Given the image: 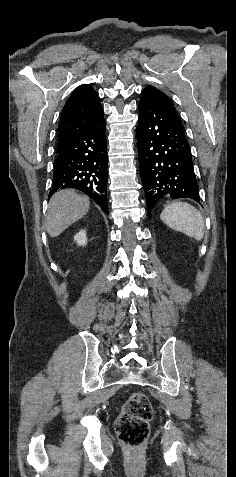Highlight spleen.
Segmentation results:
<instances>
[{
	"instance_id": "1",
	"label": "spleen",
	"mask_w": 236,
	"mask_h": 477,
	"mask_svg": "<svg viewBox=\"0 0 236 477\" xmlns=\"http://www.w3.org/2000/svg\"><path fill=\"white\" fill-rule=\"evenodd\" d=\"M161 220L170 228L183 232L187 236L202 240L204 220L200 212L188 203L174 202L164 208Z\"/></svg>"
}]
</instances>
